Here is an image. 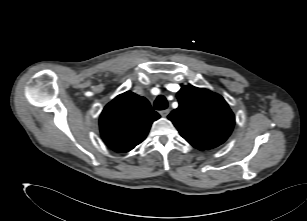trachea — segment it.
Masks as SVG:
<instances>
[{
	"mask_svg": "<svg viewBox=\"0 0 307 221\" xmlns=\"http://www.w3.org/2000/svg\"><path fill=\"white\" fill-rule=\"evenodd\" d=\"M167 107L168 103L166 98L163 95H159L154 102V108L156 110H165Z\"/></svg>",
	"mask_w": 307,
	"mask_h": 221,
	"instance_id": "3493384b",
	"label": "trachea"
}]
</instances>
